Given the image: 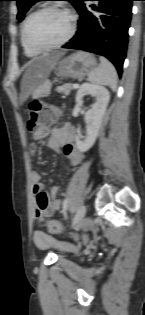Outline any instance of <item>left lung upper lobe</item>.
<instances>
[{
  "label": "left lung upper lobe",
  "mask_w": 145,
  "mask_h": 315,
  "mask_svg": "<svg viewBox=\"0 0 145 315\" xmlns=\"http://www.w3.org/2000/svg\"><path fill=\"white\" fill-rule=\"evenodd\" d=\"M15 1H17V7H18L17 19L22 20L26 12L34 3L38 1H43V0H15ZM65 1H70L71 3H73L74 7H76L79 2V0H65Z\"/></svg>",
  "instance_id": "5c2ea615"
}]
</instances>
